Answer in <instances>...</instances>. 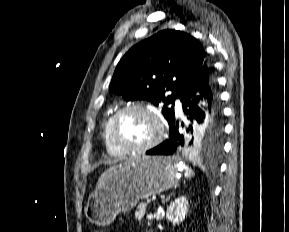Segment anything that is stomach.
<instances>
[{"label":"stomach","instance_id":"stomach-1","mask_svg":"<svg viewBox=\"0 0 289 232\" xmlns=\"http://www.w3.org/2000/svg\"><path fill=\"white\" fill-rule=\"evenodd\" d=\"M177 160L171 157H139L115 169L88 198L85 215L98 226L111 224L121 212L140 199L164 192L177 183Z\"/></svg>","mask_w":289,"mask_h":232}]
</instances>
